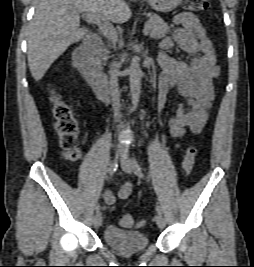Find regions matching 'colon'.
<instances>
[{
	"mask_svg": "<svg viewBox=\"0 0 254 267\" xmlns=\"http://www.w3.org/2000/svg\"><path fill=\"white\" fill-rule=\"evenodd\" d=\"M185 7L193 13H202L208 8L207 0H185ZM52 116L54 118V127L58 135L59 145L62 148L66 158L70 161H78L82 152L79 147V122L74 114L70 104L61 99V97L52 92ZM197 149L195 146H189L186 149L182 162V169L186 174L193 170ZM120 224L123 227L133 228L142 225V221H136L132 215L123 214L120 218Z\"/></svg>",
	"mask_w": 254,
	"mask_h": 267,
	"instance_id": "1",
	"label": "colon"
}]
</instances>
